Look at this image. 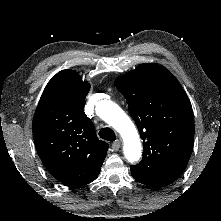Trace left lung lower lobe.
<instances>
[{"mask_svg": "<svg viewBox=\"0 0 221 221\" xmlns=\"http://www.w3.org/2000/svg\"><path fill=\"white\" fill-rule=\"evenodd\" d=\"M160 187H162V186H156L155 188H160Z\"/></svg>", "mask_w": 221, "mask_h": 221, "instance_id": "0a47b994", "label": "left lung lower lobe"}]
</instances>
